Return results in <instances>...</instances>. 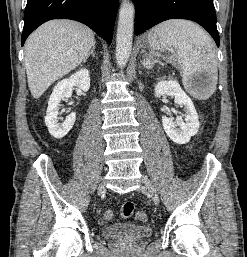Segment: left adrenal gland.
I'll list each match as a JSON object with an SVG mask.
<instances>
[{
    "mask_svg": "<svg viewBox=\"0 0 247 257\" xmlns=\"http://www.w3.org/2000/svg\"><path fill=\"white\" fill-rule=\"evenodd\" d=\"M156 63H159L160 65H163V63H162L161 61H159V60L147 58L146 60L143 61V66H144L146 69H152L153 66H154Z\"/></svg>",
    "mask_w": 247,
    "mask_h": 257,
    "instance_id": "a2214340",
    "label": "left adrenal gland"
}]
</instances>
